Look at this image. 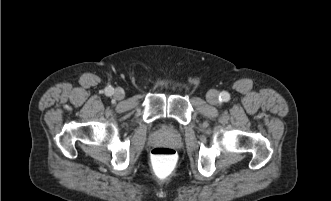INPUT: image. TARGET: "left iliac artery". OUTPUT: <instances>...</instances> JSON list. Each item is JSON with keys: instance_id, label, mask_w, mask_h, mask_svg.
I'll list each match as a JSON object with an SVG mask.
<instances>
[{"instance_id": "1", "label": "left iliac artery", "mask_w": 331, "mask_h": 201, "mask_svg": "<svg viewBox=\"0 0 331 201\" xmlns=\"http://www.w3.org/2000/svg\"><path fill=\"white\" fill-rule=\"evenodd\" d=\"M230 99V95L227 92H221L219 94V100L222 102H226Z\"/></svg>"}]
</instances>
